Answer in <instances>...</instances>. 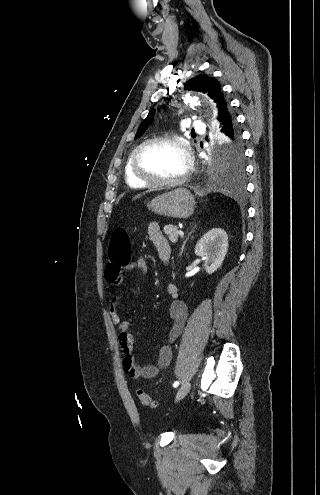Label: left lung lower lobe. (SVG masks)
<instances>
[{
  "label": "left lung lower lobe",
  "mask_w": 320,
  "mask_h": 495,
  "mask_svg": "<svg viewBox=\"0 0 320 495\" xmlns=\"http://www.w3.org/2000/svg\"><path fill=\"white\" fill-rule=\"evenodd\" d=\"M235 125H236L235 117L230 112V110L227 109L217 118L216 127H217L218 136L224 137L231 135Z\"/></svg>",
  "instance_id": "left-lung-lower-lobe-1"
}]
</instances>
